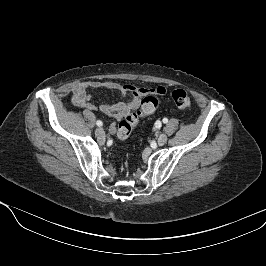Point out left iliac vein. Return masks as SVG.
<instances>
[{
    "label": "left iliac vein",
    "mask_w": 266,
    "mask_h": 266,
    "mask_svg": "<svg viewBox=\"0 0 266 266\" xmlns=\"http://www.w3.org/2000/svg\"><path fill=\"white\" fill-rule=\"evenodd\" d=\"M157 142L160 146L164 145L167 142V135L162 133L159 135Z\"/></svg>",
    "instance_id": "4c4485c4"
}]
</instances>
